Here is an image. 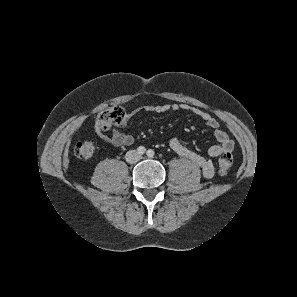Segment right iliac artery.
I'll use <instances>...</instances> for the list:
<instances>
[{"label": "right iliac artery", "mask_w": 297, "mask_h": 297, "mask_svg": "<svg viewBox=\"0 0 297 297\" xmlns=\"http://www.w3.org/2000/svg\"><path fill=\"white\" fill-rule=\"evenodd\" d=\"M137 151L139 154H144L146 152V149H145V147L140 146V147H138Z\"/></svg>", "instance_id": "obj_1"}]
</instances>
